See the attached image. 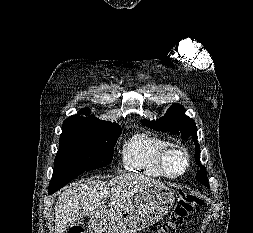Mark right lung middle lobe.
Wrapping results in <instances>:
<instances>
[{
  "mask_svg": "<svg viewBox=\"0 0 253 233\" xmlns=\"http://www.w3.org/2000/svg\"><path fill=\"white\" fill-rule=\"evenodd\" d=\"M120 134L118 124L93 118L69 117L62 126L52 180L110 164Z\"/></svg>",
  "mask_w": 253,
  "mask_h": 233,
  "instance_id": "right-lung-middle-lobe-1",
  "label": "right lung middle lobe"
}]
</instances>
